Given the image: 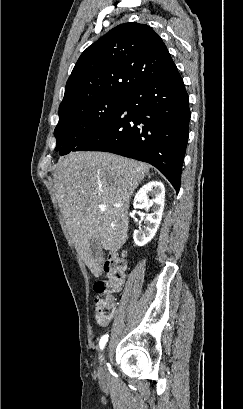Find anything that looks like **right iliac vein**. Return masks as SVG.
<instances>
[{"instance_id":"right-iliac-vein-1","label":"right iliac vein","mask_w":243,"mask_h":409,"mask_svg":"<svg viewBox=\"0 0 243 409\" xmlns=\"http://www.w3.org/2000/svg\"><path fill=\"white\" fill-rule=\"evenodd\" d=\"M99 376L101 379L105 378V361H103L99 367Z\"/></svg>"}]
</instances>
